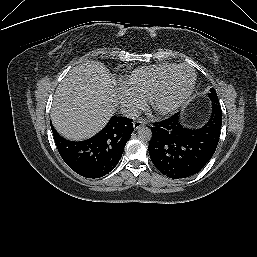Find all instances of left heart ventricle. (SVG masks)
I'll return each instance as SVG.
<instances>
[{
  "instance_id": "1",
  "label": "left heart ventricle",
  "mask_w": 257,
  "mask_h": 257,
  "mask_svg": "<svg viewBox=\"0 0 257 257\" xmlns=\"http://www.w3.org/2000/svg\"><path fill=\"white\" fill-rule=\"evenodd\" d=\"M190 82L191 74L187 70L181 69L173 73L165 84L159 103L167 104L177 99L184 93Z\"/></svg>"
}]
</instances>
